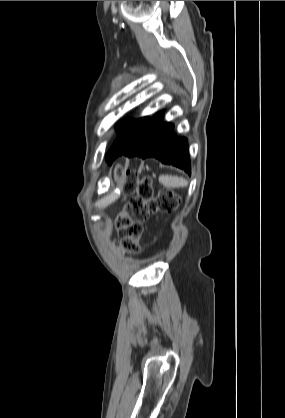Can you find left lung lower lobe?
Here are the masks:
<instances>
[{"label":"left lung lower lobe","mask_w":285,"mask_h":418,"mask_svg":"<svg viewBox=\"0 0 285 418\" xmlns=\"http://www.w3.org/2000/svg\"><path fill=\"white\" fill-rule=\"evenodd\" d=\"M162 118L163 111L148 120L120 155L139 156L143 159L154 157L162 163L175 165L190 173L187 139L177 137L173 132L174 126L162 123Z\"/></svg>","instance_id":"left-lung-lower-lobe-1"}]
</instances>
